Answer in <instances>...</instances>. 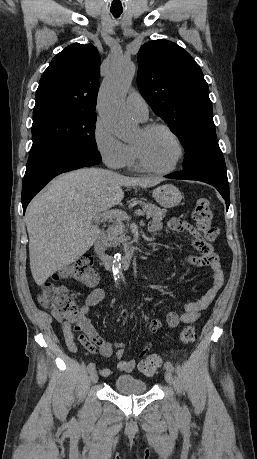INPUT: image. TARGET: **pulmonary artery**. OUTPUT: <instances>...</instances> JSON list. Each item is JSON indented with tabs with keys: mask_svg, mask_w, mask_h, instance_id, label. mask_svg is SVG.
Masks as SVG:
<instances>
[{
	"mask_svg": "<svg viewBox=\"0 0 257 459\" xmlns=\"http://www.w3.org/2000/svg\"><path fill=\"white\" fill-rule=\"evenodd\" d=\"M125 106L127 111L141 121L148 117V105L140 93L133 91L128 94Z\"/></svg>",
	"mask_w": 257,
	"mask_h": 459,
	"instance_id": "1",
	"label": "pulmonary artery"
}]
</instances>
